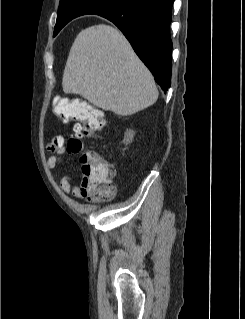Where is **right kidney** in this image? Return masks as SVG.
<instances>
[{"label": "right kidney", "mask_w": 245, "mask_h": 319, "mask_svg": "<svg viewBox=\"0 0 245 319\" xmlns=\"http://www.w3.org/2000/svg\"><path fill=\"white\" fill-rule=\"evenodd\" d=\"M135 132L133 130H128L126 131L125 135H124V144H130L133 141Z\"/></svg>", "instance_id": "right-kidney-1"}]
</instances>
